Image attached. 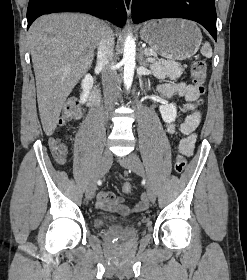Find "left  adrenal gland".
<instances>
[{
  "label": "left adrenal gland",
  "mask_w": 247,
  "mask_h": 280,
  "mask_svg": "<svg viewBox=\"0 0 247 280\" xmlns=\"http://www.w3.org/2000/svg\"><path fill=\"white\" fill-rule=\"evenodd\" d=\"M144 52L141 50L140 56H139V63L140 65L146 67L148 64L144 61Z\"/></svg>",
  "instance_id": "a2214340"
}]
</instances>
